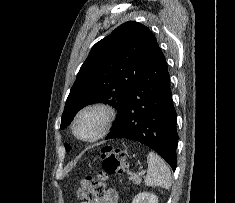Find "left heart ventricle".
<instances>
[{
	"instance_id": "1",
	"label": "left heart ventricle",
	"mask_w": 235,
	"mask_h": 203,
	"mask_svg": "<svg viewBox=\"0 0 235 203\" xmlns=\"http://www.w3.org/2000/svg\"><path fill=\"white\" fill-rule=\"evenodd\" d=\"M103 116L98 111H90L81 116L77 123V131L83 138L97 134L102 124Z\"/></svg>"
}]
</instances>
